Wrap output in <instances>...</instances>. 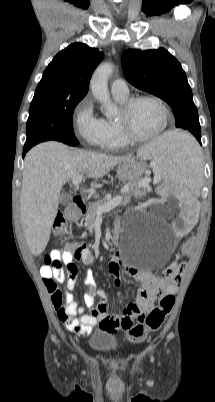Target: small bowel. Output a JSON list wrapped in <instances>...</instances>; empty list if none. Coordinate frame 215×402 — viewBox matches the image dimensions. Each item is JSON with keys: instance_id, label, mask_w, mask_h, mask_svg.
<instances>
[{"instance_id": "1", "label": "small bowel", "mask_w": 215, "mask_h": 402, "mask_svg": "<svg viewBox=\"0 0 215 402\" xmlns=\"http://www.w3.org/2000/svg\"><path fill=\"white\" fill-rule=\"evenodd\" d=\"M77 253H79L78 258H76ZM52 256L61 263L64 261L66 264L73 265V269H67L66 273L62 265L57 267L44 265L40 269V274L44 279L52 278L59 283H65L66 304L58 310V318L70 332L81 337L88 336L96 325L111 333L118 330L128 331L135 321L141 320L153 308L156 299H161L166 295L173 296L181 281L180 274L175 276L164 274L162 277H158L151 272L131 267L129 272L135 281L141 284L136 302L121 312L109 313L105 291L98 288L92 273L88 272L85 276L88 291L84 295V304L89 311L86 313L85 308L80 306L71 294L77 282V267L73 261L80 260L85 265H90L95 261L94 255L87 246L77 245L75 250H54ZM108 267L110 272L118 277L119 257H114ZM115 284H119L118 278ZM96 297L100 298L98 304H95Z\"/></svg>"}]
</instances>
